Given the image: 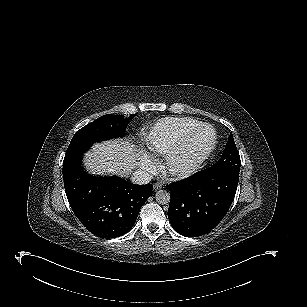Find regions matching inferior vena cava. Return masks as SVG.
<instances>
[{
  "instance_id": "obj_1",
  "label": "inferior vena cava",
  "mask_w": 307,
  "mask_h": 307,
  "mask_svg": "<svg viewBox=\"0 0 307 307\" xmlns=\"http://www.w3.org/2000/svg\"><path fill=\"white\" fill-rule=\"evenodd\" d=\"M152 176L143 170H136L131 176V182L137 185H144L151 181Z\"/></svg>"
}]
</instances>
